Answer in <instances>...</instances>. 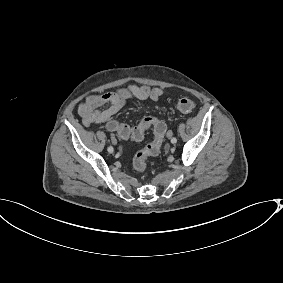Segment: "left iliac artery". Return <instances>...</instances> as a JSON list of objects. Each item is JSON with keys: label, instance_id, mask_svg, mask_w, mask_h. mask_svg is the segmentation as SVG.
<instances>
[{"label": "left iliac artery", "instance_id": "1", "mask_svg": "<svg viewBox=\"0 0 283 283\" xmlns=\"http://www.w3.org/2000/svg\"><path fill=\"white\" fill-rule=\"evenodd\" d=\"M171 142H172L173 144H175V143H177V139H176L175 137H173V138L171 139Z\"/></svg>", "mask_w": 283, "mask_h": 283}]
</instances>
